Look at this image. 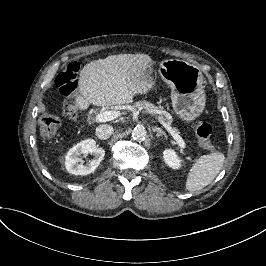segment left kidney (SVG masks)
Masks as SVG:
<instances>
[{
	"label": "left kidney",
	"mask_w": 266,
	"mask_h": 266,
	"mask_svg": "<svg viewBox=\"0 0 266 266\" xmlns=\"http://www.w3.org/2000/svg\"><path fill=\"white\" fill-rule=\"evenodd\" d=\"M163 158L165 163L172 169H179L181 167V159L173 149H165L163 151Z\"/></svg>",
	"instance_id": "obj_1"
}]
</instances>
